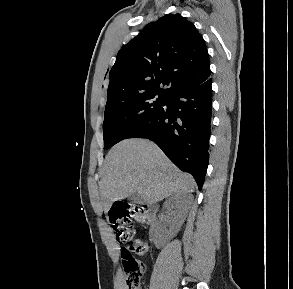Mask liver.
Segmentation results:
<instances>
[{
    "label": "liver",
    "instance_id": "obj_1",
    "mask_svg": "<svg viewBox=\"0 0 293 289\" xmlns=\"http://www.w3.org/2000/svg\"><path fill=\"white\" fill-rule=\"evenodd\" d=\"M195 181L181 172L153 142L126 139L105 157L99 183L104 201L125 199L138 193L143 202L153 204L174 193L193 192Z\"/></svg>",
    "mask_w": 293,
    "mask_h": 289
}]
</instances>
